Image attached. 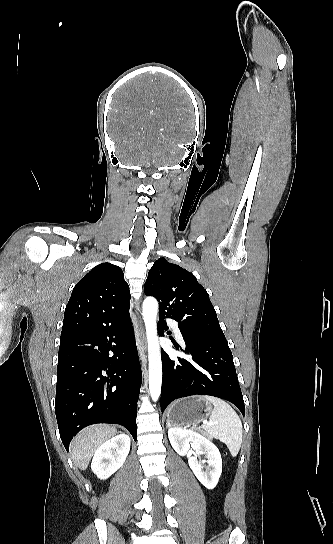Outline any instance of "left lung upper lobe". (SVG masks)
Returning <instances> with one entry per match:
<instances>
[{"label":"left lung upper lobe","mask_w":333,"mask_h":544,"mask_svg":"<svg viewBox=\"0 0 333 544\" xmlns=\"http://www.w3.org/2000/svg\"><path fill=\"white\" fill-rule=\"evenodd\" d=\"M144 292L159 302V314L179 322L185 332L225 337L207 291L182 267L159 258L148 273Z\"/></svg>","instance_id":"left-lung-upper-lobe-1"}]
</instances>
